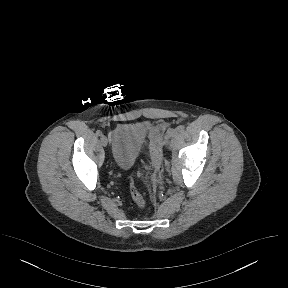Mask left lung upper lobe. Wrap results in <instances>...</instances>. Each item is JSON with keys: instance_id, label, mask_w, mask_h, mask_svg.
Masks as SVG:
<instances>
[{"instance_id": "5c2ea615", "label": "left lung upper lobe", "mask_w": 288, "mask_h": 288, "mask_svg": "<svg viewBox=\"0 0 288 288\" xmlns=\"http://www.w3.org/2000/svg\"><path fill=\"white\" fill-rule=\"evenodd\" d=\"M252 221H253V218H252V219H250V220L248 221V223L250 224Z\"/></svg>"}]
</instances>
